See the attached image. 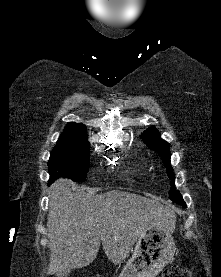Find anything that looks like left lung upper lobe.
Here are the masks:
<instances>
[{
	"mask_svg": "<svg viewBox=\"0 0 221 277\" xmlns=\"http://www.w3.org/2000/svg\"><path fill=\"white\" fill-rule=\"evenodd\" d=\"M141 138L143 139L144 143L151 149L155 150L159 156L162 157V160L167 168V175L171 179V189L169 192L170 199L179 203L180 205H183L184 200L181 196V194L178 192V190L175 189L174 181L175 176L172 171V167L170 164V145L161 139L160 133L158 130L154 127H150L146 129L142 134Z\"/></svg>",
	"mask_w": 221,
	"mask_h": 277,
	"instance_id": "5c2ea615",
	"label": "left lung upper lobe"
}]
</instances>
